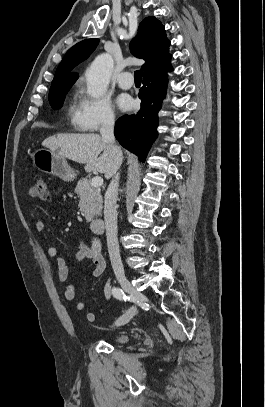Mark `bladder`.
Listing matches in <instances>:
<instances>
[{"mask_svg":"<svg viewBox=\"0 0 265 407\" xmlns=\"http://www.w3.org/2000/svg\"><path fill=\"white\" fill-rule=\"evenodd\" d=\"M114 339L116 342L123 343V342H127L129 338L126 335H116L114 337Z\"/></svg>","mask_w":265,"mask_h":407,"instance_id":"obj_1","label":"bladder"}]
</instances>
